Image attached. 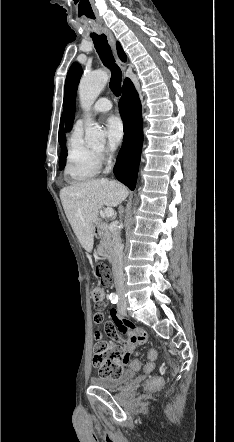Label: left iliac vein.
Listing matches in <instances>:
<instances>
[{"label": "left iliac vein", "instance_id": "obj_1", "mask_svg": "<svg viewBox=\"0 0 234 442\" xmlns=\"http://www.w3.org/2000/svg\"><path fill=\"white\" fill-rule=\"evenodd\" d=\"M118 311L121 315H125V304L122 301L118 304Z\"/></svg>", "mask_w": 234, "mask_h": 442}]
</instances>
